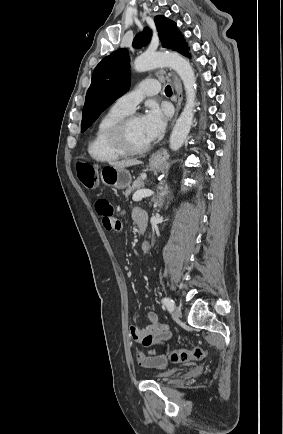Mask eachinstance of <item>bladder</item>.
Listing matches in <instances>:
<instances>
[{
    "instance_id": "1",
    "label": "bladder",
    "mask_w": 283,
    "mask_h": 434,
    "mask_svg": "<svg viewBox=\"0 0 283 434\" xmlns=\"http://www.w3.org/2000/svg\"><path fill=\"white\" fill-rule=\"evenodd\" d=\"M175 373V369H167L161 372L156 373L153 378L158 379V380H164L169 378L170 376H172Z\"/></svg>"
}]
</instances>
